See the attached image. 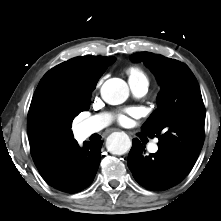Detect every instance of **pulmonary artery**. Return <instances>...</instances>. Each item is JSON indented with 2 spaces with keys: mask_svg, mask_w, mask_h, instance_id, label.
<instances>
[{
  "mask_svg": "<svg viewBox=\"0 0 221 221\" xmlns=\"http://www.w3.org/2000/svg\"><path fill=\"white\" fill-rule=\"evenodd\" d=\"M129 85L132 93L137 97L144 96L148 91V80H129ZM111 117L109 114H99L88 119L84 124V131L86 134L98 132L109 125ZM148 150L152 153L158 151V141H153L148 145Z\"/></svg>",
  "mask_w": 221,
  "mask_h": 221,
  "instance_id": "pulmonary-artery-1",
  "label": "pulmonary artery"
}]
</instances>
